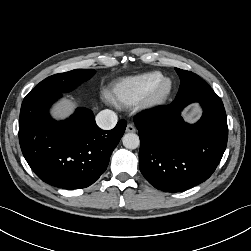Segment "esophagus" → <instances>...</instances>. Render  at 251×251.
<instances>
[{
	"label": "esophagus",
	"mask_w": 251,
	"mask_h": 251,
	"mask_svg": "<svg viewBox=\"0 0 251 251\" xmlns=\"http://www.w3.org/2000/svg\"><path fill=\"white\" fill-rule=\"evenodd\" d=\"M126 132H128V133H134V132H136L135 126L133 124H128L127 128H126Z\"/></svg>",
	"instance_id": "esophagus-1"
}]
</instances>
